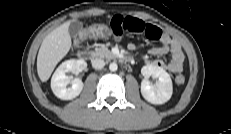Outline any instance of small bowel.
I'll list each match as a JSON object with an SVG mask.
<instances>
[{
	"instance_id": "obj_1",
	"label": "small bowel",
	"mask_w": 231,
	"mask_h": 134,
	"mask_svg": "<svg viewBox=\"0 0 231 134\" xmlns=\"http://www.w3.org/2000/svg\"><path fill=\"white\" fill-rule=\"evenodd\" d=\"M108 26L114 32L113 38L119 40L124 31L138 33L145 35L148 39L159 41V45L148 50V53L154 56H163L170 54L171 59L168 63L161 59H156L150 62V65L163 68L171 73L177 74L183 70L184 54L180 44L175 39L171 38L162 30L151 23H147L137 17L133 16H113ZM132 49H136L135 45H132Z\"/></svg>"
}]
</instances>
